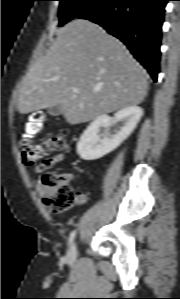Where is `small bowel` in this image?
<instances>
[{"mask_svg": "<svg viewBox=\"0 0 180 299\" xmlns=\"http://www.w3.org/2000/svg\"><path fill=\"white\" fill-rule=\"evenodd\" d=\"M63 160H64V155L62 153L56 154V155L48 158L47 160H45L43 164L36 166L34 168V172L37 174L43 173L45 170L52 168L53 166L62 162ZM64 176L68 181H70L72 179L71 174H65ZM36 190L40 194H44L45 186L42 183H37ZM78 200L80 203L83 202L85 200V196L80 194L78 196Z\"/></svg>", "mask_w": 180, "mask_h": 299, "instance_id": "c3829d8e", "label": "small bowel"}]
</instances>
